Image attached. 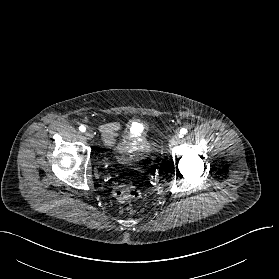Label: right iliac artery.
Instances as JSON below:
<instances>
[{
	"instance_id": "82829eb1",
	"label": "right iliac artery",
	"mask_w": 279,
	"mask_h": 279,
	"mask_svg": "<svg viewBox=\"0 0 279 279\" xmlns=\"http://www.w3.org/2000/svg\"><path fill=\"white\" fill-rule=\"evenodd\" d=\"M79 130H80L81 132H85V131H86V127H85L84 125H81V126L79 127Z\"/></svg>"
}]
</instances>
